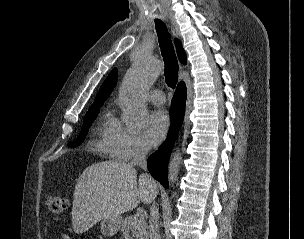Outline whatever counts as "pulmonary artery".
<instances>
[{
  "mask_svg": "<svg viewBox=\"0 0 304 239\" xmlns=\"http://www.w3.org/2000/svg\"><path fill=\"white\" fill-rule=\"evenodd\" d=\"M149 101L154 105H163L165 103V95L162 90L154 89L149 93Z\"/></svg>",
  "mask_w": 304,
  "mask_h": 239,
  "instance_id": "pulmonary-artery-1",
  "label": "pulmonary artery"
}]
</instances>
